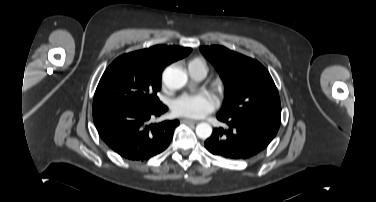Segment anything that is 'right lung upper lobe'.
<instances>
[{
    "label": "right lung upper lobe",
    "mask_w": 376,
    "mask_h": 202,
    "mask_svg": "<svg viewBox=\"0 0 376 202\" xmlns=\"http://www.w3.org/2000/svg\"><path fill=\"white\" fill-rule=\"evenodd\" d=\"M190 52L191 48L156 45L148 49L132 52L131 54L146 64L152 73L161 76V72L165 66L187 56Z\"/></svg>",
    "instance_id": "right-lung-upper-lobe-1"
}]
</instances>
